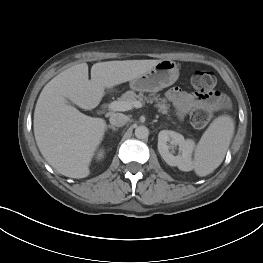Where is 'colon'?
<instances>
[{"mask_svg":"<svg viewBox=\"0 0 263 263\" xmlns=\"http://www.w3.org/2000/svg\"><path fill=\"white\" fill-rule=\"evenodd\" d=\"M191 84L197 95L203 98L214 96L216 76L211 71L198 70L191 76ZM212 107L200 106L195 108L190 114L191 124L198 129L206 127L212 119Z\"/></svg>","mask_w":263,"mask_h":263,"instance_id":"obj_1","label":"colon"}]
</instances>
